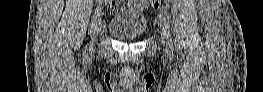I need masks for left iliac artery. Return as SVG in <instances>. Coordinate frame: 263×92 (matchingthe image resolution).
I'll return each mask as SVG.
<instances>
[{
    "instance_id": "1",
    "label": "left iliac artery",
    "mask_w": 263,
    "mask_h": 92,
    "mask_svg": "<svg viewBox=\"0 0 263 92\" xmlns=\"http://www.w3.org/2000/svg\"><path fill=\"white\" fill-rule=\"evenodd\" d=\"M159 10H160V13H161L162 20L163 21H168L170 19V16L168 15V12L165 11L164 2H160ZM166 26H167V29H168L169 43L172 46V39L170 37V31H169V22L166 23Z\"/></svg>"
}]
</instances>
